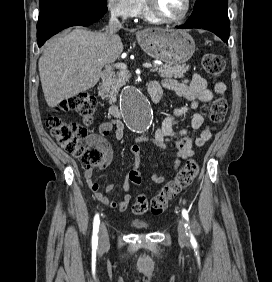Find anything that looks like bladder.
Masks as SVG:
<instances>
[{"label": "bladder", "instance_id": "bladder-1", "mask_svg": "<svg viewBox=\"0 0 272 282\" xmlns=\"http://www.w3.org/2000/svg\"><path fill=\"white\" fill-rule=\"evenodd\" d=\"M132 225L136 226V227H138L140 229H144V228L147 227V224L144 221H142V220H134L132 222Z\"/></svg>", "mask_w": 272, "mask_h": 282}]
</instances>
